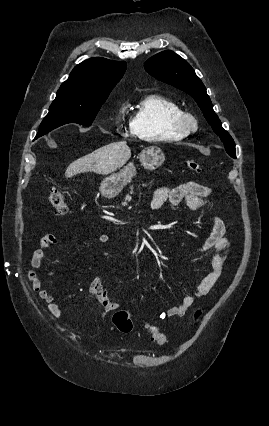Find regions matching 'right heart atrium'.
I'll return each instance as SVG.
<instances>
[{
  "label": "right heart atrium",
  "mask_w": 269,
  "mask_h": 426,
  "mask_svg": "<svg viewBox=\"0 0 269 426\" xmlns=\"http://www.w3.org/2000/svg\"><path fill=\"white\" fill-rule=\"evenodd\" d=\"M125 107L121 106L118 110V118L116 121V131L120 134L126 132L127 124L124 120Z\"/></svg>",
  "instance_id": "right-heart-atrium-1"
}]
</instances>
